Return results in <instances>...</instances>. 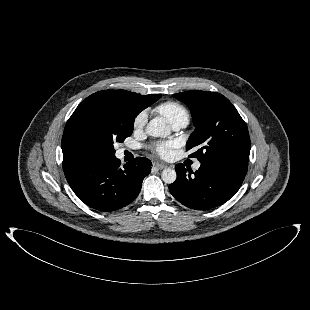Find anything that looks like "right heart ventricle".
<instances>
[{
	"instance_id": "right-heart-ventricle-1",
	"label": "right heart ventricle",
	"mask_w": 310,
	"mask_h": 310,
	"mask_svg": "<svg viewBox=\"0 0 310 310\" xmlns=\"http://www.w3.org/2000/svg\"><path fill=\"white\" fill-rule=\"evenodd\" d=\"M155 111L171 125L179 121L189 122L188 110L176 101L163 102L155 107Z\"/></svg>"
}]
</instances>
